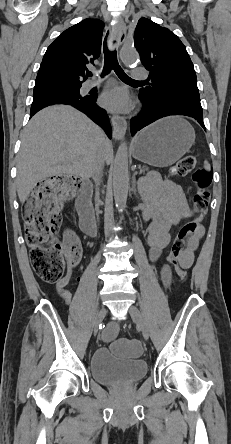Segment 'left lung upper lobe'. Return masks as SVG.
<instances>
[{
  "instance_id": "obj_1",
  "label": "left lung upper lobe",
  "mask_w": 231,
  "mask_h": 444,
  "mask_svg": "<svg viewBox=\"0 0 231 444\" xmlns=\"http://www.w3.org/2000/svg\"><path fill=\"white\" fill-rule=\"evenodd\" d=\"M134 45L141 62L150 71L151 84L140 89L147 98L200 103L193 63L181 40L169 29L147 18L138 21Z\"/></svg>"
}]
</instances>
